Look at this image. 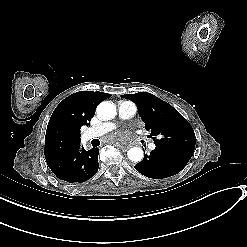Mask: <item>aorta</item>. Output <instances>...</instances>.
Listing matches in <instances>:
<instances>
[{
    "label": "aorta",
    "instance_id": "obj_1",
    "mask_svg": "<svg viewBox=\"0 0 247 247\" xmlns=\"http://www.w3.org/2000/svg\"><path fill=\"white\" fill-rule=\"evenodd\" d=\"M96 111L103 120H111L116 116V107L109 101L101 102ZM127 156L133 162H140L143 159V150L139 147H133L129 149Z\"/></svg>",
    "mask_w": 247,
    "mask_h": 247
}]
</instances>
